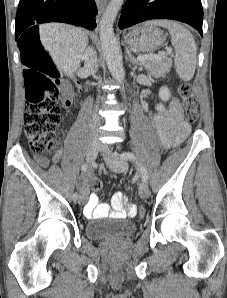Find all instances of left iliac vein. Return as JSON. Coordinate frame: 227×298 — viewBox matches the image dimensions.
<instances>
[{
    "label": "left iliac vein",
    "mask_w": 227,
    "mask_h": 298,
    "mask_svg": "<svg viewBox=\"0 0 227 298\" xmlns=\"http://www.w3.org/2000/svg\"><path fill=\"white\" fill-rule=\"evenodd\" d=\"M102 154L107 166L115 172H124L127 170V162L120 158L118 154L113 153L109 148H102ZM139 194L141 198L145 199L149 196L150 190L146 182L142 181L139 184Z\"/></svg>",
    "instance_id": "left-iliac-vein-1"
}]
</instances>
